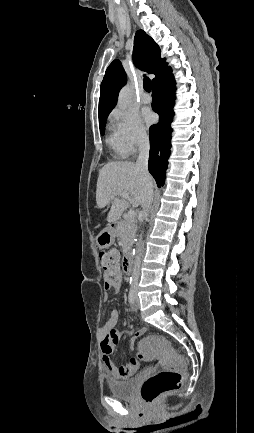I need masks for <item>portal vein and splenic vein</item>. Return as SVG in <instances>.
I'll use <instances>...</instances> for the list:
<instances>
[{
    "mask_svg": "<svg viewBox=\"0 0 254 433\" xmlns=\"http://www.w3.org/2000/svg\"><path fill=\"white\" fill-rule=\"evenodd\" d=\"M120 195L127 200L130 199V197L127 193H121ZM135 216H136V212L134 210L128 211V214H127L128 219H134Z\"/></svg>",
    "mask_w": 254,
    "mask_h": 433,
    "instance_id": "18ae733b",
    "label": "portal vein and splenic vein"
}]
</instances>
